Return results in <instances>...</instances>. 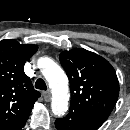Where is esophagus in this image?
I'll return each mask as SVG.
<instances>
[{
  "label": "esophagus",
  "mask_w": 130,
  "mask_h": 130,
  "mask_svg": "<svg viewBox=\"0 0 130 130\" xmlns=\"http://www.w3.org/2000/svg\"><path fill=\"white\" fill-rule=\"evenodd\" d=\"M43 97H44V100H45L46 102H49L50 99H51V93H50L49 91H45V92L43 93Z\"/></svg>",
  "instance_id": "obj_1"
}]
</instances>
